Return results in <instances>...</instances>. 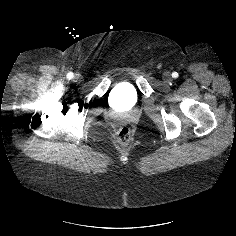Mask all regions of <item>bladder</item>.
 Segmentation results:
<instances>
[{"instance_id":"31cf9c89","label":"bladder","mask_w":236,"mask_h":236,"mask_svg":"<svg viewBox=\"0 0 236 236\" xmlns=\"http://www.w3.org/2000/svg\"><path fill=\"white\" fill-rule=\"evenodd\" d=\"M110 103L118 113H127L133 109L137 103V94L130 85H118L110 95Z\"/></svg>"}]
</instances>
